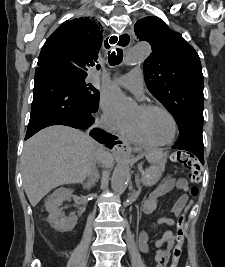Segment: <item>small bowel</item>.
I'll return each instance as SVG.
<instances>
[{
  "label": "small bowel",
  "instance_id": "c3829d8e",
  "mask_svg": "<svg viewBox=\"0 0 225 267\" xmlns=\"http://www.w3.org/2000/svg\"><path fill=\"white\" fill-rule=\"evenodd\" d=\"M176 188L177 190L183 192V195L177 200L175 206L172 209V214L179 215L182 209L184 208L187 202L186 192L188 191V184L184 178H171L161 185H159L153 193L145 200L143 205V212L145 214H151L157 206L158 197L167 193L168 191ZM159 223H166L169 225H173V219L169 217H161L158 219ZM176 243V234L172 231H165L162 238L158 239L155 242V247L157 248L154 258L158 263L162 259H167L170 255L172 249L174 248ZM138 244L140 249L143 252H149L150 248L148 245V232L146 230H142L139 234ZM165 245V247H163Z\"/></svg>",
  "mask_w": 225,
  "mask_h": 267
}]
</instances>
